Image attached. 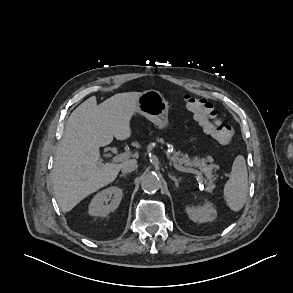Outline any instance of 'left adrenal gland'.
Wrapping results in <instances>:
<instances>
[{"instance_id": "left-adrenal-gland-1", "label": "left adrenal gland", "mask_w": 293, "mask_h": 293, "mask_svg": "<svg viewBox=\"0 0 293 293\" xmlns=\"http://www.w3.org/2000/svg\"><path fill=\"white\" fill-rule=\"evenodd\" d=\"M168 176H169L170 179H172L174 181L176 188H178L180 179H177V178H175L174 176H172L170 174Z\"/></svg>"}]
</instances>
